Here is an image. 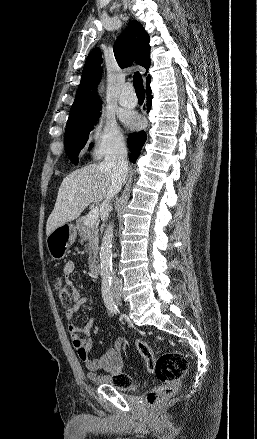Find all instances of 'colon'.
Segmentation results:
<instances>
[{
    "instance_id": "5ec220e1",
    "label": "colon",
    "mask_w": 257,
    "mask_h": 439,
    "mask_svg": "<svg viewBox=\"0 0 257 439\" xmlns=\"http://www.w3.org/2000/svg\"><path fill=\"white\" fill-rule=\"evenodd\" d=\"M58 297L65 307H70L74 302V290L68 284L58 280L55 284ZM137 349L146 362L148 369L153 372L161 384L146 396L149 405H159L167 401L177 390L178 383L188 369L186 357L179 352H168L155 358L147 341L139 339ZM115 388L133 390L134 383L126 373H118L112 378Z\"/></svg>"
}]
</instances>
